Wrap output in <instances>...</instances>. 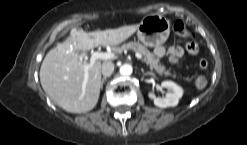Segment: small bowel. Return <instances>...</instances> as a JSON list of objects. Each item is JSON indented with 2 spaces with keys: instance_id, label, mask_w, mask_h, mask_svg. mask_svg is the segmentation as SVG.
<instances>
[{
  "instance_id": "small-bowel-1",
  "label": "small bowel",
  "mask_w": 247,
  "mask_h": 145,
  "mask_svg": "<svg viewBox=\"0 0 247 145\" xmlns=\"http://www.w3.org/2000/svg\"><path fill=\"white\" fill-rule=\"evenodd\" d=\"M199 52L198 45L189 42L182 46H158L155 49V54L159 57H167L172 63L177 62L185 55L195 56Z\"/></svg>"
}]
</instances>
